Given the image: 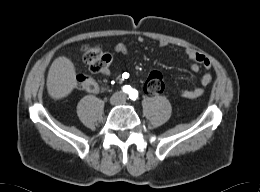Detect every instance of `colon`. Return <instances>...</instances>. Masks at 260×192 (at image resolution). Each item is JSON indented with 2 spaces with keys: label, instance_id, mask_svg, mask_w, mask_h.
Instances as JSON below:
<instances>
[{
  "label": "colon",
  "instance_id": "5ec220e1",
  "mask_svg": "<svg viewBox=\"0 0 260 192\" xmlns=\"http://www.w3.org/2000/svg\"><path fill=\"white\" fill-rule=\"evenodd\" d=\"M82 59L93 72H102L108 69L113 63L111 55L105 52L99 45L84 46L82 48ZM77 86L81 90L89 93L98 92L103 88L97 80L88 75H79L77 77ZM165 88V78L157 71L150 73L144 84L145 92L151 95L160 94Z\"/></svg>",
  "mask_w": 260,
  "mask_h": 192
}]
</instances>
